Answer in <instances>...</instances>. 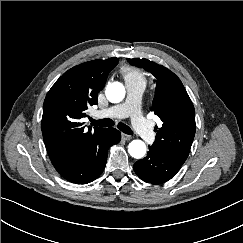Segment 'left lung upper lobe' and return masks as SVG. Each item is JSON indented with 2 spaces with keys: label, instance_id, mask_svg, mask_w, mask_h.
I'll list each match as a JSON object with an SVG mask.
<instances>
[{
  "label": "left lung upper lobe",
  "instance_id": "5c2ea615",
  "mask_svg": "<svg viewBox=\"0 0 243 243\" xmlns=\"http://www.w3.org/2000/svg\"><path fill=\"white\" fill-rule=\"evenodd\" d=\"M132 65L142 67L156 78V97L151 107L162 121L155 127L153 147L160 149L184 163L194 139L195 109L180 79L164 66L147 59H127Z\"/></svg>",
  "mask_w": 243,
  "mask_h": 243
}]
</instances>
